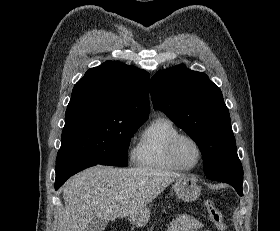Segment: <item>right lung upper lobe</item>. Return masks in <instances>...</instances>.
Wrapping results in <instances>:
<instances>
[{
  "label": "right lung upper lobe",
  "instance_id": "cb5924a9",
  "mask_svg": "<svg viewBox=\"0 0 280 231\" xmlns=\"http://www.w3.org/2000/svg\"><path fill=\"white\" fill-rule=\"evenodd\" d=\"M149 81L147 72L118 61L89 69L73 88L66 119L145 121L149 114Z\"/></svg>",
  "mask_w": 280,
  "mask_h": 231
}]
</instances>
